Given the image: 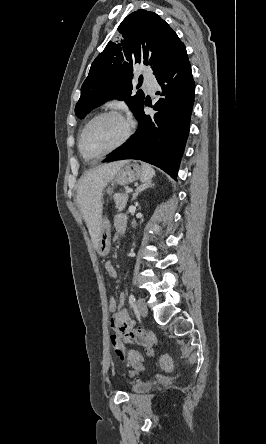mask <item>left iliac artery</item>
Here are the masks:
<instances>
[{
	"label": "left iliac artery",
	"instance_id": "44dca946",
	"mask_svg": "<svg viewBox=\"0 0 266 444\" xmlns=\"http://www.w3.org/2000/svg\"><path fill=\"white\" fill-rule=\"evenodd\" d=\"M135 302H136V299H135L134 295L130 294V296H129V304H130L131 308L134 307Z\"/></svg>",
	"mask_w": 266,
	"mask_h": 444
}]
</instances>
